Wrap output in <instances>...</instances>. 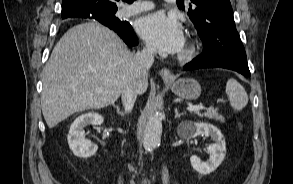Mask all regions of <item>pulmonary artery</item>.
I'll return each mask as SVG.
<instances>
[{
  "instance_id": "e3ab8cb5",
  "label": "pulmonary artery",
  "mask_w": 293,
  "mask_h": 184,
  "mask_svg": "<svg viewBox=\"0 0 293 184\" xmlns=\"http://www.w3.org/2000/svg\"><path fill=\"white\" fill-rule=\"evenodd\" d=\"M168 2H174L175 0H166ZM153 8V4L147 1L136 2L132 5H127L120 10L122 16H130L143 11H147Z\"/></svg>"
}]
</instances>
